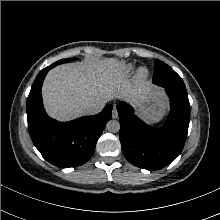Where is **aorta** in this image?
<instances>
[{"label": "aorta", "mask_w": 220, "mask_h": 220, "mask_svg": "<svg viewBox=\"0 0 220 220\" xmlns=\"http://www.w3.org/2000/svg\"><path fill=\"white\" fill-rule=\"evenodd\" d=\"M106 128L111 133H117L120 130V123L117 120H110L107 123Z\"/></svg>", "instance_id": "aorta-1"}]
</instances>
